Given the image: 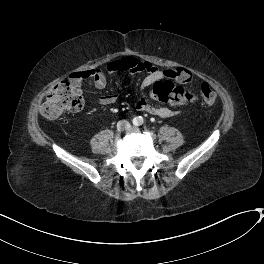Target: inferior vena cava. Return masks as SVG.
Masks as SVG:
<instances>
[{"label": "inferior vena cava", "instance_id": "obj_1", "mask_svg": "<svg viewBox=\"0 0 264 264\" xmlns=\"http://www.w3.org/2000/svg\"><path fill=\"white\" fill-rule=\"evenodd\" d=\"M127 123H128V122L124 120V121H120V122H119V125H120V126H123V125H126Z\"/></svg>", "mask_w": 264, "mask_h": 264}]
</instances>
